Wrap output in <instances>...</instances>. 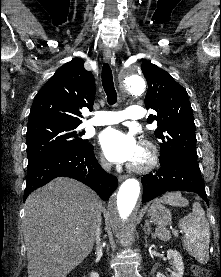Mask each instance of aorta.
Returning <instances> with one entry per match:
<instances>
[{"label":"aorta","instance_id":"762f6f07","mask_svg":"<svg viewBox=\"0 0 221 277\" xmlns=\"http://www.w3.org/2000/svg\"><path fill=\"white\" fill-rule=\"evenodd\" d=\"M123 92L128 95H141L146 83L137 69H127L121 75ZM140 183L135 178L125 180L119 190L109 199L108 212L112 229L124 246H131L134 241V229Z\"/></svg>","mask_w":221,"mask_h":277}]
</instances>
